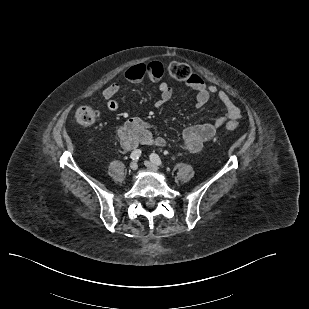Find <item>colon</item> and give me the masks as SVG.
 <instances>
[{"label":"colon","mask_w":309,"mask_h":309,"mask_svg":"<svg viewBox=\"0 0 309 309\" xmlns=\"http://www.w3.org/2000/svg\"><path fill=\"white\" fill-rule=\"evenodd\" d=\"M168 74L175 80L180 82H188L192 79L194 74L191 68L180 62H173L168 66ZM76 121L83 127H92L99 119V111L91 106H80L75 114ZM238 127L237 122L229 121L225 128L229 131H234Z\"/></svg>","instance_id":"obj_1"}]
</instances>
